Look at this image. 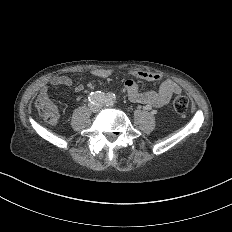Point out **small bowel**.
<instances>
[{"label":"small bowel","mask_w":232,"mask_h":232,"mask_svg":"<svg viewBox=\"0 0 232 232\" xmlns=\"http://www.w3.org/2000/svg\"><path fill=\"white\" fill-rule=\"evenodd\" d=\"M110 70L108 69H96L93 71V76L84 79V83L87 85H98L103 79L109 76ZM132 74L142 80L157 81L160 79V75L150 69H139L132 72ZM72 80L69 78L59 77L54 78L51 81L53 87H71ZM128 90V98L133 103H146L149 106L161 107L168 103L170 97L174 94H178L181 91L180 85L173 79L167 78L161 83L159 91H140L134 79L128 78L124 81ZM50 88L45 86L41 89L43 94L49 93ZM81 88H76L75 95H79Z\"/></svg>","instance_id":"1"}]
</instances>
